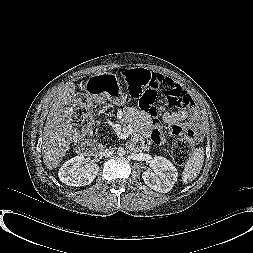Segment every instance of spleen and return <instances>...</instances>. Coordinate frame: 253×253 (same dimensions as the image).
Returning a JSON list of instances; mask_svg holds the SVG:
<instances>
[{"mask_svg": "<svg viewBox=\"0 0 253 253\" xmlns=\"http://www.w3.org/2000/svg\"><path fill=\"white\" fill-rule=\"evenodd\" d=\"M204 162V149L197 148L189 158L183 171L182 180L187 183L194 179L199 173Z\"/></svg>", "mask_w": 253, "mask_h": 253, "instance_id": "spleen-1", "label": "spleen"}]
</instances>
